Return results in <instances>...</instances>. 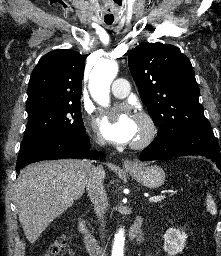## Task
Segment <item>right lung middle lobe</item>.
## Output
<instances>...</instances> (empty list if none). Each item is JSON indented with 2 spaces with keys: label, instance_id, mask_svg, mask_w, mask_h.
Segmentation results:
<instances>
[{
  "label": "right lung middle lobe",
  "instance_id": "dd1d6c3e",
  "mask_svg": "<svg viewBox=\"0 0 221 256\" xmlns=\"http://www.w3.org/2000/svg\"><path fill=\"white\" fill-rule=\"evenodd\" d=\"M28 123L20 148L51 134L86 132L81 117L80 103L42 104L27 109Z\"/></svg>",
  "mask_w": 221,
  "mask_h": 256
}]
</instances>
